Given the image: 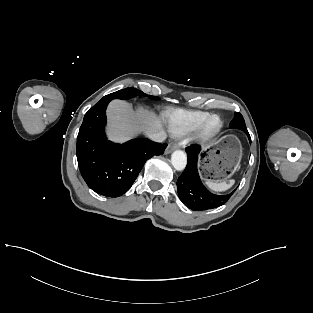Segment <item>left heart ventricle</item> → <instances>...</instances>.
<instances>
[{
	"label": "left heart ventricle",
	"mask_w": 313,
	"mask_h": 313,
	"mask_svg": "<svg viewBox=\"0 0 313 313\" xmlns=\"http://www.w3.org/2000/svg\"><path fill=\"white\" fill-rule=\"evenodd\" d=\"M216 125V122H213L212 126H215Z\"/></svg>",
	"instance_id": "1"
}]
</instances>
